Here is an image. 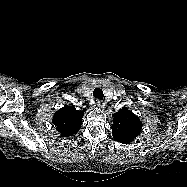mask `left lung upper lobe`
Here are the masks:
<instances>
[{
	"label": "left lung upper lobe",
	"mask_w": 187,
	"mask_h": 187,
	"mask_svg": "<svg viewBox=\"0 0 187 187\" xmlns=\"http://www.w3.org/2000/svg\"><path fill=\"white\" fill-rule=\"evenodd\" d=\"M112 134L116 141L130 144L140 133L142 123L132 111L122 108L113 114Z\"/></svg>",
	"instance_id": "5c2ea615"
}]
</instances>
